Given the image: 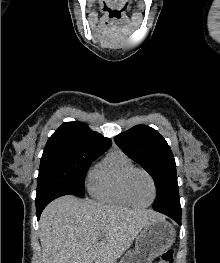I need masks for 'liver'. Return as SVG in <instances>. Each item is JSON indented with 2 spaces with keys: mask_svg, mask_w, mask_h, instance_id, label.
Instances as JSON below:
<instances>
[{
  "mask_svg": "<svg viewBox=\"0 0 220 263\" xmlns=\"http://www.w3.org/2000/svg\"><path fill=\"white\" fill-rule=\"evenodd\" d=\"M160 218L153 210L62 196L40 217L42 263H116L142 229Z\"/></svg>",
  "mask_w": 220,
  "mask_h": 263,
  "instance_id": "liver-1",
  "label": "liver"
}]
</instances>
